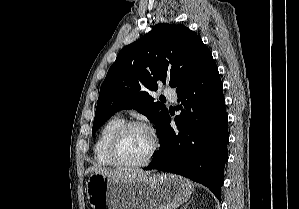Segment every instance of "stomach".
<instances>
[{"label":"stomach","mask_w":299,"mask_h":209,"mask_svg":"<svg viewBox=\"0 0 299 209\" xmlns=\"http://www.w3.org/2000/svg\"><path fill=\"white\" fill-rule=\"evenodd\" d=\"M86 189L93 209H176L188 200L193 185L173 174H154L140 181H116L92 173Z\"/></svg>","instance_id":"0dacf381"}]
</instances>
